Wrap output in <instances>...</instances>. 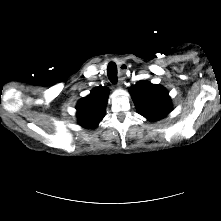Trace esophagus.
I'll return each mask as SVG.
<instances>
[{"label": "esophagus", "mask_w": 221, "mask_h": 221, "mask_svg": "<svg viewBox=\"0 0 221 221\" xmlns=\"http://www.w3.org/2000/svg\"><path fill=\"white\" fill-rule=\"evenodd\" d=\"M123 67H125V65H122L121 75H123L124 72L126 71V69H123ZM122 80H123V78H120V79H119V82L117 83V86H118V87L121 86V84H122Z\"/></svg>", "instance_id": "obj_1"}]
</instances>
